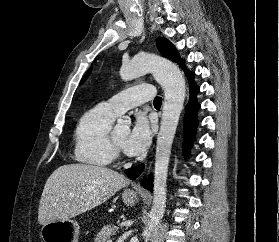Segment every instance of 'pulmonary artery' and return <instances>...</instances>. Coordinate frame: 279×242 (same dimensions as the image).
<instances>
[{"label":"pulmonary artery","mask_w":279,"mask_h":242,"mask_svg":"<svg viewBox=\"0 0 279 242\" xmlns=\"http://www.w3.org/2000/svg\"><path fill=\"white\" fill-rule=\"evenodd\" d=\"M154 95L155 91L153 86L141 84L117 93L104 102V104L116 115H120L129 108L153 99Z\"/></svg>","instance_id":"pulmonary-artery-1"}]
</instances>
